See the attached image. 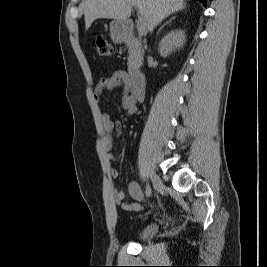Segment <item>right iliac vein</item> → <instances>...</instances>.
I'll return each instance as SVG.
<instances>
[{"mask_svg":"<svg viewBox=\"0 0 267 267\" xmlns=\"http://www.w3.org/2000/svg\"><path fill=\"white\" fill-rule=\"evenodd\" d=\"M150 178H151L153 187L155 188L156 191L160 192L164 189V184L157 175H155L154 173H151Z\"/></svg>","mask_w":267,"mask_h":267,"instance_id":"63e3f726","label":"right iliac vein"}]
</instances>
